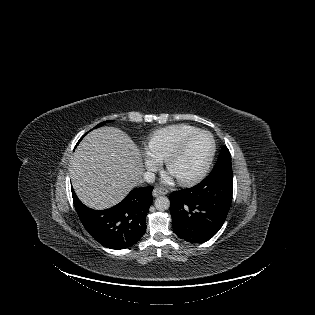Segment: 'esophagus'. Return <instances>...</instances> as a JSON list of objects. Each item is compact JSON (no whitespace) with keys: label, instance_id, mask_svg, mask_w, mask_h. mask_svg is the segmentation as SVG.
I'll use <instances>...</instances> for the list:
<instances>
[{"label":"esophagus","instance_id":"1","mask_svg":"<svg viewBox=\"0 0 315 315\" xmlns=\"http://www.w3.org/2000/svg\"><path fill=\"white\" fill-rule=\"evenodd\" d=\"M167 192L168 191L165 188L157 186L154 188L152 194L154 197H158L167 194Z\"/></svg>","mask_w":315,"mask_h":315}]
</instances>
